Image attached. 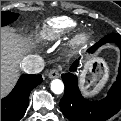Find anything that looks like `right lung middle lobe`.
<instances>
[{
    "mask_svg": "<svg viewBox=\"0 0 121 121\" xmlns=\"http://www.w3.org/2000/svg\"><path fill=\"white\" fill-rule=\"evenodd\" d=\"M19 15L12 13L10 11H2L1 12V26L8 25L15 21Z\"/></svg>",
    "mask_w": 121,
    "mask_h": 121,
    "instance_id": "right-lung-middle-lobe-1",
    "label": "right lung middle lobe"
}]
</instances>
